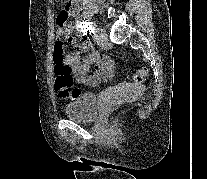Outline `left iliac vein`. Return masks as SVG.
<instances>
[{
	"mask_svg": "<svg viewBox=\"0 0 207 179\" xmlns=\"http://www.w3.org/2000/svg\"><path fill=\"white\" fill-rule=\"evenodd\" d=\"M95 40L98 45H103L107 42V34L102 28L96 29Z\"/></svg>",
	"mask_w": 207,
	"mask_h": 179,
	"instance_id": "4c4485c4",
	"label": "left iliac vein"
}]
</instances>
